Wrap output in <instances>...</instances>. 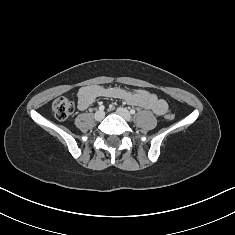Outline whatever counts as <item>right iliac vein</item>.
Instances as JSON below:
<instances>
[{
	"mask_svg": "<svg viewBox=\"0 0 235 235\" xmlns=\"http://www.w3.org/2000/svg\"><path fill=\"white\" fill-rule=\"evenodd\" d=\"M105 117V113L103 111H97L94 115L95 120L101 121Z\"/></svg>",
	"mask_w": 235,
	"mask_h": 235,
	"instance_id": "right-iliac-vein-1",
	"label": "right iliac vein"
}]
</instances>
